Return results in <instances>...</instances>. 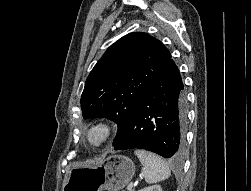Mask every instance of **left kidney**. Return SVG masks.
<instances>
[{
    "label": "left kidney",
    "mask_w": 251,
    "mask_h": 191,
    "mask_svg": "<svg viewBox=\"0 0 251 191\" xmlns=\"http://www.w3.org/2000/svg\"><path fill=\"white\" fill-rule=\"evenodd\" d=\"M139 191H162L161 185H149V187H143Z\"/></svg>",
    "instance_id": "5707ae66"
}]
</instances>
